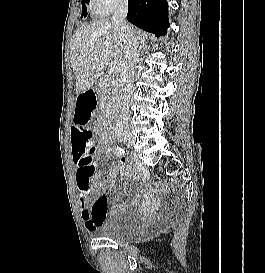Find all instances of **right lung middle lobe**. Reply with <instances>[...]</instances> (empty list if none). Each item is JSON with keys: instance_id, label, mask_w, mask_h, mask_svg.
<instances>
[{"instance_id": "obj_1", "label": "right lung middle lobe", "mask_w": 265, "mask_h": 273, "mask_svg": "<svg viewBox=\"0 0 265 273\" xmlns=\"http://www.w3.org/2000/svg\"><path fill=\"white\" fill-rule=\"evenodd\" d=\"M89 3V0H82V14L84 16L87 15V11H86V5L85 4H88Z\"/></svg>"}]
</instances>
